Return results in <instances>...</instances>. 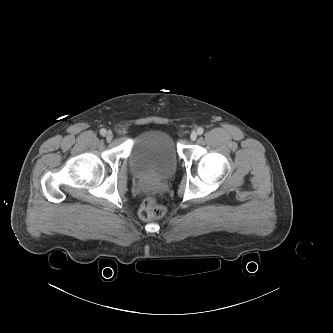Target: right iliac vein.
Masks as SVG:
<instances>
[{"mask_svg":"<svg viewBox=\"0 0 333 333\" xmlns=\"http://www.w3.org/2000/svg\"><path fill=\"white\" fill-rule=\"evenodd\" d=\"M113 139V133L111 131H108L106 133V140L109 142Z\"/></svg>","mask_w":333,"mask_h":333,"instance_id":"right-iliac-vein-1","label":"right iliac vein"}]
</instances>
